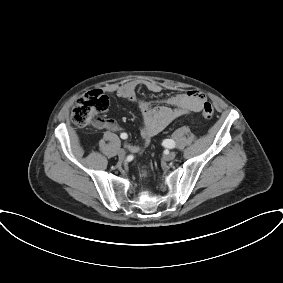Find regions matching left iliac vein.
<instances>
[{"label":"left iliac vein","mask_w":283,"mask_h":283,"mask_svg":"<svg viewBox=\"0 0 283 283\" xmlns=\"http://www.w3.org/2000/svg\"><path fill=\"white\" fill-rule=\"evenodd\" d=\"M175 157H176V152L171 151L164 156V159L166 161H170V160H173Z\"/></svg>","instance_id":"left-iliac-vein-1"}]
</instances>
